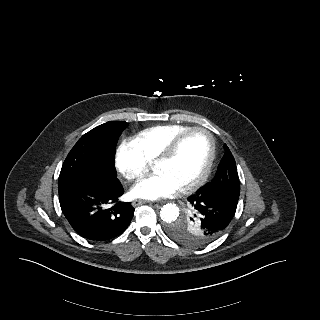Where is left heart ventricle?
Masks as SVG:
<instances>
[{"instance_id": "b2bd125f", "label": "left heart ventricle", "mask_w": 320, "mask_h": 320, "mask_svg": "<svg viewBox=\"0 0 320 320\" xmlns=\"http://www.w3.org/2000/svg\"><path fill=\"white\" fill-rule=\"evenodd\" d=\"M208 137L201 133H191L180 143L174 156L154 165V170L166 174L178 186L194 181L205 168L209 156Z\"/></svg>"}]
</instances>
